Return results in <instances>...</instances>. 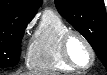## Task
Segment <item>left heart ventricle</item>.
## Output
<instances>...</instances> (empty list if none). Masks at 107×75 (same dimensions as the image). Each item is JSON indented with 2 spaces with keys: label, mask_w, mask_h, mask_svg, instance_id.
I'll list each match as a JSON object with an SVG mask.
<instances>
[{
  "label": "left heart ventricle",
  "mask_w": 107,
  "mask_h": 75,
  "mask_svg": "<svg viewBox=\"0 0 107 75\" xmlns=\"http://www.w3.org/2000/svg\"><path fill=\"white\" fill-rule=\"evenodd\" d=\"M69 53L75 63L86 66L90 63L91 55L85 43L78 37L71 38L69 42Z\"/></svg>",
  "instance_id": "b2bd125f"
}]
</instances>
